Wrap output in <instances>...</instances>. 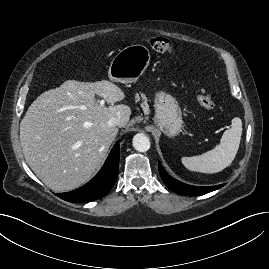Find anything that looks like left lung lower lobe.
<instances>
[{"label": "left lung lower lobe", "mask_w": 269, "mask_h": 269, "mask_svg": "<svg viewBox=\"0 0 269 269\" xmlns=\"http://www.w3.org/2000/svg\"><path fill=\"white\" fill-rule=\"evenodd\" d=\"M158 167H159L160 176L162 180L164 181L165 185L168 188H170L172 191L181 195H186V196L203 195L224 186V184L216 185V186H206V187L187 185L180 181H177L176 179L168 175L160 162L158 163Z\"/></svg>", "instance_id": "1"}]
</instances>
